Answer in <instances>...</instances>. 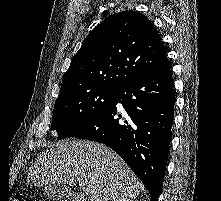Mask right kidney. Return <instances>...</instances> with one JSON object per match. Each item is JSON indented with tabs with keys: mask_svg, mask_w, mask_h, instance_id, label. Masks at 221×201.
<instances>
[{
	"mask_svg": "<svg viewBox=\"0 0 221 201\" xmlns=\"http://www.w3.org/2000/svg\"><path fill=\"white\" fill-rule=\"evenodd\" d=\"M119 201H128L127 199H121V200H119Z\"/></svg>",
	"mask_w": 221,
	"mask_h": 201,
	"instance_id": "1",
	"label": "right kidney"
}]
</instances>
